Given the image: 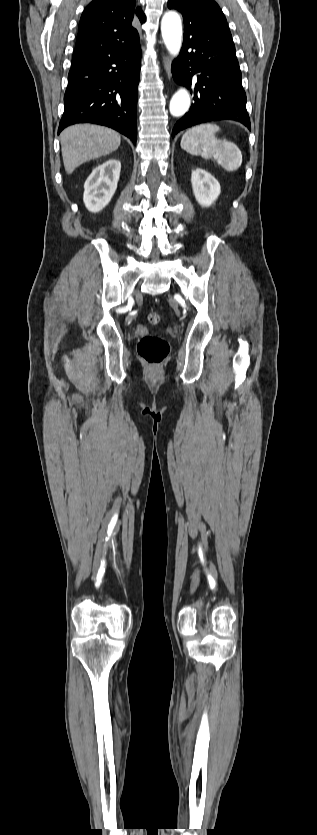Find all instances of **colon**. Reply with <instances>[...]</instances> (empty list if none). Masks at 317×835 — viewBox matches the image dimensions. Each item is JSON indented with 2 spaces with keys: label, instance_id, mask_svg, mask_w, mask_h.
Segmentation results:
<instances>
[{
  "label": "colon",
  "instance_id": "colon-1",
  "mask_svg": "<svg viewBox=\"0 0 317 835\" xmlns=\"http://www.w3.org/2000/svg\"><path fill=\"white\" fill-rule=\"evenodd\" d=\"M161 316L157 312H151L147 316L150 325H157ZM169 351L168 343L161 337L148 335L143 337L138 344V353L142 359L152 367L160 366Z\"/></svg>",
  "mask_w": 317,
  "mask_h": 835
}]
</instances>
